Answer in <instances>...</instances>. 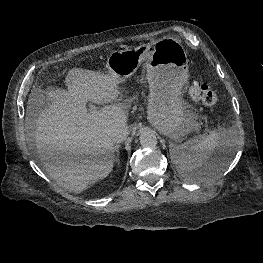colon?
<instances>
[{
  "mask_svg": "<svg viewBox=\"0 0 263 263\" xmlns=\"http://www.w3.org/2000/svg\"><path fill=\"white\" fill-rule=\"evenodd\" d=\"M189 94L194 101L206 106H213L218 101L216 93L204 83H194L189 89Z\"/></svg>",
  "mask_w": 263,
  "mask_h": 263,
  "instance_id": "1",
  "label": "colon"
}]
</instances>
